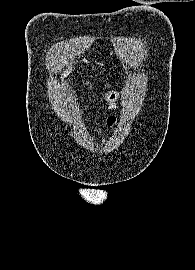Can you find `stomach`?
<instances>
[{"label": "stomach", "instance_id": "1", "mask_svg": "<svg viewBox=\"0 0 195 270\" xmlns=\"http://www.w3.org/2000/svg\"><path fill=\"white\" fill-rule=\"evenodd\" d=\"M105 99L109 103H114L116 101V99H117V93L109 92V93L106 94Z\"/></svg>", "mask_w": 195, "mask_h": 270}]
</instances>
